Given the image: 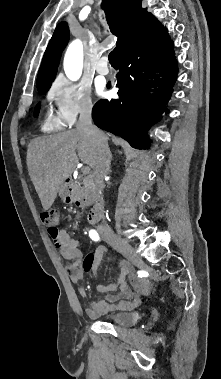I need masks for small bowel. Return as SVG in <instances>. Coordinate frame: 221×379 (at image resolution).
<instances>
[{"instance_id": "1", "label": "small bowel", "mask_w": 221, "mask_h": 379, "mask_svg": "<svg viewBox=\"0 0 221 379\" xmlns=\"http://www.w3.org/2000/svg\"><path fill=\"white\" fill-rule=\"evenodd\" d=\"M51 237L59 248L61 255L69 261L67 272L72 283L78 287L81 296L86 297L82 282L84 274H90L91 272L96 281L97 291L106 294L104 299L89 303L86 308V313L89 317H98L114 310L133 309L149 295L148 283L144 279L138 278L126 264L121 265V273L116 283L103 285L98 282L96 271L106 253L103 247L98 248L93 253H86V258L83 261V253L79 249V242L71 238L66 229L58 230ZM89 280H92V277H89ZM117 289H119L118 292Z\"/></svg>"}]
</instances>
